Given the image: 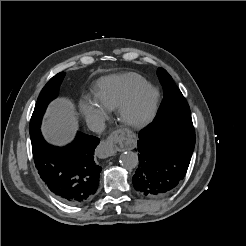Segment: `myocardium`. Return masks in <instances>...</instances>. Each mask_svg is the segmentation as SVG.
Returning a JSON list of instances; mask_svg holds the SVG:
<instances>
[{
  "label": "myocardium",
  "mask_w": 246,
  "mask_h": 246,
  "mask_svg": "<svg viewBox=\"0 0 246 246\" xmlns=\"http://www.w3.org/2000/svg\"><path fill=\"white\" fill-rule=\"evenodd\" d=\"M143 97H145L147 100L146 109L142 114L134 116L132 114V109L136 102ZM159 97L160 95L158 90L150 84L138 88L133 93H131L118 107L117 115L119 121L123 125L133 129H139L146 126L152 121L156 114Z\"/></svg>",
  "instance_id": "1"
}]
</instances>
